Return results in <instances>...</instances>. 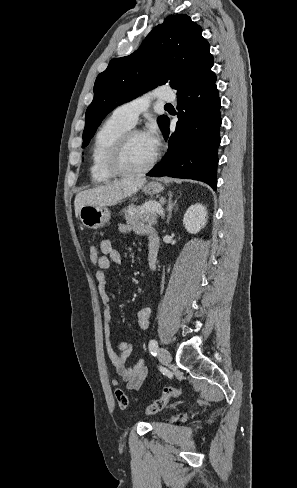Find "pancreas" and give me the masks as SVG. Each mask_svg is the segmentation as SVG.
Instances as JSON below:
<instances>
[{
	"label": "pancreas",
	"mask_w": 297,
	"mask_h": 488,
	"mask_svg": "<svg viewBox=\"0 0 297 488\" xmlns=\"http://www.w3.org/2000/svg\"><path fill=\"white\" fill-rule=\"evenodd\" d=\"M155 201H149L148 204H155ZM147 204L135 207L129 205L124 209V217L127 224L137 225L142 223L156 224L157 211L156 210H146L144 209Z\"/></svg>",
	"instance_id": "pancreas-1"
}]
</instances>
